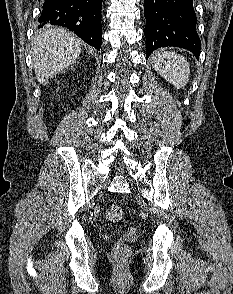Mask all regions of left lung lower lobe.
I'll use <instances>...</instances> for the list:
<instances>
[{"label":"left lung lower lobe","mask_w":233,"mask_h":294,"mask_svg":"<svg viewBox=\"0 0 233 294\" xmlns=\"http://www.w3.org/2000/svg\"><path fill=\"white\" fill-rule=\"evenodd\" d=\"M144 4L147 58L165 46L184 48L199 57L201 42L193 0H144Z\"/></svg>","instance_id":"1"}]
</instances>
